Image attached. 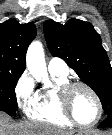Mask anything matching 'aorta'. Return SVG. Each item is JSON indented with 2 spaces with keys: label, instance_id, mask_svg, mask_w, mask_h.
Listing matches in <instances>:
<instances>
[{
  "label": "aorta",
  "instance_id": "obj_1",
  "mask_svg": "<svg viewBox=\"0 0 112 135\" xmlns=\"http://www.w3.org/2000/svg\"><path fill=\"white\" fill-rule=\"evenodd\" d=\"M26 66L36 81L49 84L44 49L39 41L30 44L26 55Z\"/></svg>",
  "mask_w": 112,
  "mask_h": 135
}]
</instances>
